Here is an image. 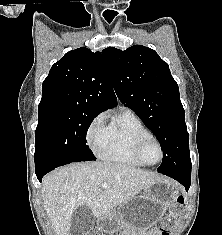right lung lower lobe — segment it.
<instances>
[{
  "label": "right lung lower lobe",
  "instance_id": "obj_1",
  "mask_svg": "<svg viewBox=\"0 0 222 235\" xmlns=\"http://www.w3.org/2000/svg\"><path fill=\"white\" fill-rule=\"evenodd\" d=\"M58 167H59V166H58ZM55 168H57V167H53V168H49V169H45V170L36 172V176H37L38 180L41 182L42 177H43L46 173H48L49 171H51V170H53V169H55Z\"/></svg>",
  "mask_w": 222,
  "mask_h": 235
}]
</instances>
